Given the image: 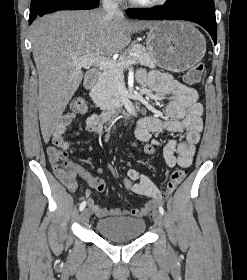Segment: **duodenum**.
I'll list each match as a JSON object with an SVG mask.
<instances>
[{
  "label": "duodenum",
  "instance_id": "1",
  "mask_svg": "<svg viewBox=\"0 0 247 280\" xmlns=\"http://www.w3.org/2000/svg\"><path fill=\"white\" fill-rule=\"evenodd\" d=\"M99 78V73L96 70H93L88 73L85 79V87L87 89H93L97 84ZM138 111V106L133 103L126 104L119 109H113L105 111L101 114V119L103 121H108L112 118H122L129 119L134 113Z\"/></svg>",
  "mask_w": 247,
  "mask_h": 280
}]
</instances>
